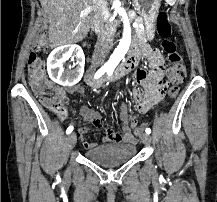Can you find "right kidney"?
I'll use <instances>...</instances> for the list:
<instances>
[{
  "instance_id": "right-kidney-1",
  "label": "right kidney",
  "mask_w": 217,
  "mask_h": 202,
  "mask_svg": "<svg viewBox=\"0 0 217 202\" xmlns=\"http://www.w3.org/2000/svg\"><path fill=\"white\" fill-rule=\"evenodd\" d=\"M71 58L74 62V70H65V62ZM85 56L82 48L76 44H67V46H60L55 48L48 56L47 70L48 74L60 86H75L80 82L84 74Z\"/></svg>"
}]
</instances>
